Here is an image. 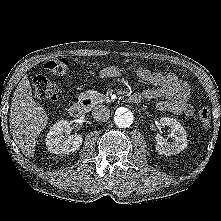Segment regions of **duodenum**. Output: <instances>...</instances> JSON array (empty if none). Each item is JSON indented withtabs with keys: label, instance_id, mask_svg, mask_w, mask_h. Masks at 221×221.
<instances>
[{
	"label": "duodenum",
	"instance_id": "1",
	"mask_svg": "<svg viewBox=\"0 0 221 221\" xmlns=\"http://www.w3.org/2000/svg\"><path fill=\"white\" fill-rule=\"evenodd\" d=\"M140 100L141 97L137 93H134L129 96V101L132 103L140 102ZM92 103L93 100L91 97H83L81 101L74 102L73 104H71V106L69 107V114L74 118H79L85 113L86 108Z\"/></svg>",
	"mask_w": 221,
	"mask_h": 221
}]
</instances>
